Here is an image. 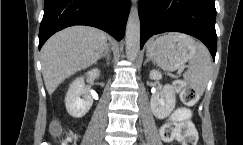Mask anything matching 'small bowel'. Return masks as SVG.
<instances>
[{
  "label": "small bowel",
  "mask_w": 243,
  "mask_h": 145,
  "mask_svg": "<svg viewBox=\"0 0 243 145\" xmlns=\"http://www.w3.org/2000/svg\"><path fill=\"white\" fill-rule=\"evenodd\" d=\"M78 136L76 134H70L64 141L63 145H69L70 143L74 142Z\"/></svg>",
  "instance_id": "1"
}]
</instances>
